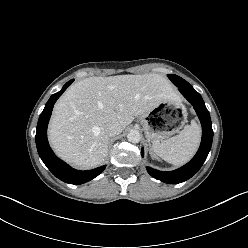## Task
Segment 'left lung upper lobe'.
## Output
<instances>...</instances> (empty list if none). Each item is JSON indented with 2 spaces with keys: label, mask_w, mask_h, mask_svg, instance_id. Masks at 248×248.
I'll list each match as a JSON object with an SVG mask.
<instances>
[{
  "label": "left lung upper lobe",
  "mask_w": 248,
  "mask_h": 248,
  "mask_svg": "<svg viewBox=\"0 0 248 248\" xmlns=\"http://www.w3.org/2000/svg\"><path fill=\"white\" fill-rule=\"evenodd\" d=\"M168 77L178 88H192V86L187 81L177 75L168 74Z\"/></svg>",
  "instance_id": "1"
}]
</instances>
